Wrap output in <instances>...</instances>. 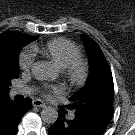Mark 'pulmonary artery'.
<instances>
[{
	"mask_svg": "<svg viewBox=\"0 0 135 135\" xmlns=\"http://www.w3.org/2000/svg\"><path fill=\"white\" fill-rule=\"evenodd\" d=\"M27 92H31V89L27 87H24V88L17 87L11 90V95L14 96L17 94H22V93H27Z\"/></svg>",
	"mask_w": 135,
	"mask_h": 135,
	"instance_id": "e3ab8cb5",
	"label": "pulmonary artery"
}]
</instances>
